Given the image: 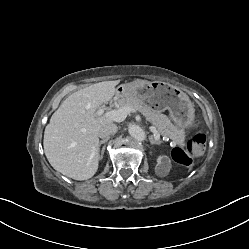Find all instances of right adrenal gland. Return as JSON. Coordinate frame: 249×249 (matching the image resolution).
<instances>
[{
  "instance_id": "right-adrenal-gland-1",
  "label": "right adrenal gland",
  "mask_w": 249,
  "mask_h": 249,
  "mask_svg": "<svg viewBox=\"0 0 249 249\" xmlns=\"http://www.w3.org/2000/svg\"><path fill=\"white\" fill-rule=\"evenodd\" d=\"M107 141H108V138L103 139V140H101V141L98 143V148H97V149H98V152H99V150H100L101 145L104 144V143H106ZM104 150H105V147H103V149H102V151H101V156H100V158L103 157Z\"/></svg>"
}]
</instances>
